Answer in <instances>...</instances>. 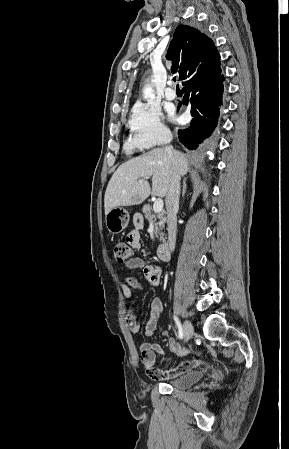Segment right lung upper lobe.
Wrapping results in <instances>:
<instances>
[{"mask_svg":"<svg viewBox=\"0 0 289 449\" xmlns=\"http://www.w3.org/2000/svg\"><path fill=\"white\" fill-rule=\"evenodd\" d=\"M166 58L172 61L171 72L178 73L183 85L205 76L220 64L214 42L196 28L179 25Z\"/></svg>","mask_w":289,"mask_h":449,"instance_id":"1","label":"right lung upper lobe"}]
</instances>
